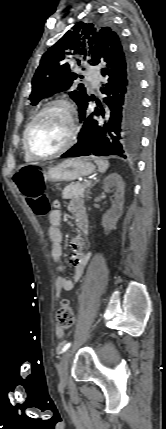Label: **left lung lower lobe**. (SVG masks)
I'll return each instance as SVG.
<instances>
[{
  "label": "left lung lower lobe",
  "instance_id": "1",
  "mask_svg": "<svg viewBox=\"0 0 166 429\" xmlns=\"http://www.w3.org/2000/svg\"><path fill=\"white\" fill-rule=\"evenodd\" d=\"M102 42L94 65L105 77L93 114L86 115L88 102L79 109L82 124L77 143L62 157L108 156L127 158L137 152L142 122V95L133 59L120 37Z\"/></svg>",
  "mask_w": 166,
  "mask_h": 429
}]
</instances>
